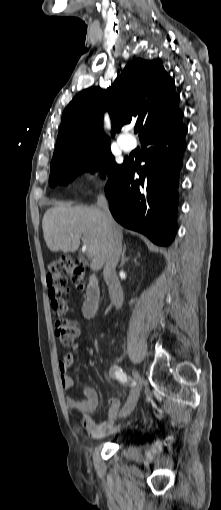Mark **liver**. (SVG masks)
Instances as JSON below:
<instances>
[{"instance_id": "obj_1", "label": "liver", "mask_w": 221, "mask_h": 510, "mask_svg": "<svg viewBox=\"0 0 221 510\" xmlns=\"http://www.w3.org/2000/svg\"><path fill=\"white\" fill-rule=\"evenodd\" d=\"M122 238V228L115 223ZM43 236L52 252H76L80 241L93 249L90 268L99 271L105 264L108 245V230L104 213L98 207L74 206L66 204L49 208L42 220Z\"/></svg>"}]
</instances>
